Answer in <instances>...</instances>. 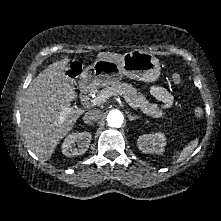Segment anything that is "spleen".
I'll return each instance as SVG.
<instances>
[{
	"instance_id": "3e777b00",
	"label": "spleen",
	"mask_w": 221,
	"mask_h": 221,
	"mask_svg": "<svg viewBox=\"0 0 221 221\" xmlns=\"http://www.w3.org/2000/svg\"><path fill=\"white\" fill-rule=\"evenodd\" d=\"M198 140L192 141L189 145L183 148L181 152H177L172 160V163H179L185 160L196 148Z\"/></svg>"
}]
</instances>
